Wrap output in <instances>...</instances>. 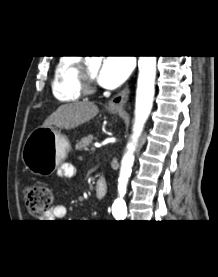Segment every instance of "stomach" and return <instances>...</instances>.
I'll return each mask as SVG.
<instances>
[{
	"label": "stomach",
	"instance_id": "0dacf381",
	"mask_svg": "<svg viewBox=\"0 0 218 277\" xmlns=\"http://www.w3.org/2000/svg\"><path fill=\"white\" fill-rule=\"evenodd\" d=\"M117 113V110H110ZM70 150L66 136L54 126L37 128L25 140L22 161L34 175L48 176L61 164Z\"/></svg>",
	"mask_w": 218,
	"mask_h": 277
}]
</instances>
